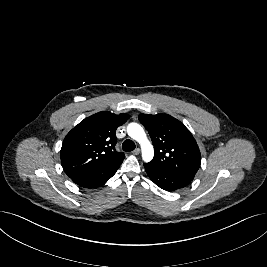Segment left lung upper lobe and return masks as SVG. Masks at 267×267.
Instances as JSON below:
<instances>
[{"label": "left lung upper lobe", "instance_id": "5c2ea615", "mask_svg": "<svg viewBox=\"0 0 267 267\" xmlns=\"http://www.w3.org/2000/svg\"><path fill=\"white\" fill-rule=\"evenodd\" d=\"M155 148L148 164L173 175L194 179L201 163L198 145L186 126L167 114H140Z\"/></svg>", "mask_w": 267, "mask_h": 267}]
</instances>
